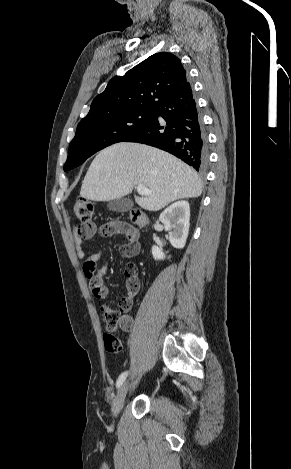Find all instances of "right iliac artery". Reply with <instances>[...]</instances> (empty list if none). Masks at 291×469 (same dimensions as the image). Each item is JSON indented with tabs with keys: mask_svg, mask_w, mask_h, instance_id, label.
<instances>
[{
	"mask_svg": "<svg viewBox=\"0 0 291 469\" xmlns=\"http://www.w3.org/2000/svg\"><path fill=\"white\" fill-rule=\"evenodd\" d=\"M127 374H128V372L126 371V372H123V373L118 377V380H117V382H116V387H117V388H119V387L123 384L124 380H125L126 377H127Z\"/></svg>",
	"mask_w": 291,
	"mask_h": 469,
	"instance_id": "1",
	"label": "right iliac artery"
}]
</instances>
